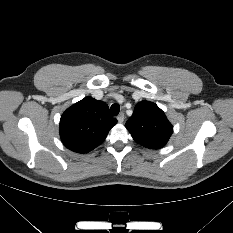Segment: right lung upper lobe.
Wrapping results in <instances>:
<instances>
[{
	"label": "right lung upper lobe",
	"instance_id": "cb5924a9",
	"mask_svg": "<svg viewBox=\"0 0 233 233\" xmlns=\"http://www.w3.org/2000/svg\"><path fill=\"white\" fill-rule=\"evenodd\" d=\"M117 123L108 106L92 97H85L69 107L60 119L63 144L77 153H87L99 146Z\"/></svg>",
	"mask_w": 233,
	"mask_h": 233
}]
</instances>
